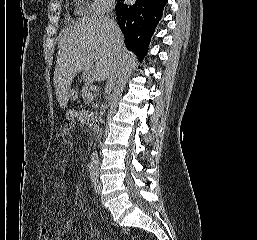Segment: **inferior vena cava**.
Listing matches in <instances>:
<instances>
[{
    "label": "inferior vena cava",
    "instance_id": "obj_1",
    "mask_svg": "<svg viewBox=\"0 0 257 240\" xmlns=\"http://www.w3.org/2000/svg\"><path fill=\"white\" fill-rule=\"evenodd\" d=\"M108 31L110 32V35L113 39V43L115 46V55H114L113 67L108 76V80L105 87L106 94H110V92L115 86L116 79L119 73L121 57H122L120 53V40H119L118 31H117V25L114 20H110L108 22Z\"/></svg>",
    "mask_w": 257,
    "mask_h": 240
}]
</instances>
